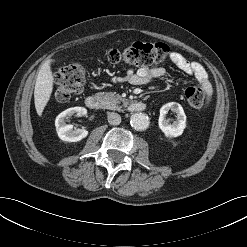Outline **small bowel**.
I'll use <instances>...</instances> for the list:
<instances>
[{
    "label": "small bowel",
    "mask_w": 247,
    "mask_h": 247,
    "mask_svg": "<svg viewBox=\"0 0 247 247\" xmlns=\"http://www.w3.org/2000/svg\"><path fill=\"white\" fill-rule=\"evenodd\" d=\"M170 60L183 73L192 76L198 85L202 88L206 96V104L212 98L213 88L208 78L205 68L198 62L188 60L179 52H172ZM165 74V69L162 67L140 68L137 71L129 70L126 79L134 85L146 84L151 80L162 78Z\"/></svg>",
    "instance_id": "1"
}]
</instances>
